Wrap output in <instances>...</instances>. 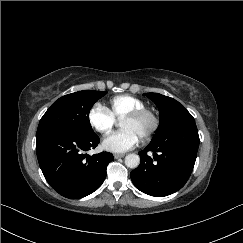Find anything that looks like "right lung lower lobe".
Segmentation results:
<instances>
[{"mask_svg":"<svg viewBox=\"0 0 243 243\" xmlns=\"http://www.w3.org/2000/svg\"><path fill=\"white\" fill-rule=\"evenodd\" d=\"M99 142L96 134L49 131L36 135L37 158L50 186L70 199L82 198L97 190L105 180L107 165L113 160L108 152L84 154Z\"/></svg>","mask_w":243,"mask_h":243,"instance_id":"1","label":"right lung lower lobe"}]
</instances>
